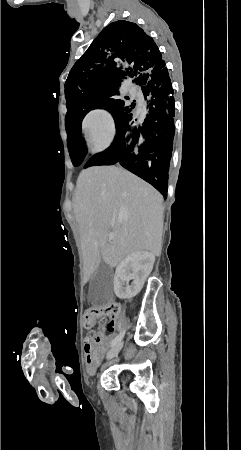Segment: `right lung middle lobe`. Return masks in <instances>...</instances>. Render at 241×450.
I'll return each instance as SVG.
<instances>
[{"mask_svg":"<svg viewBox=\"0 0 241 450\" xmlns=\"http://www.w3.org/2000/svg\"><path fill=\"white\" fill-rule=\"evenodd\" d=\"M118 89L96 87L80 76L69 73L65 83V98L67 114L65 117V126L73 117H84L90 110L106 109L118 126L122 122L135 118V100L127 105L124 100L119 98ZM128 99V97H125ZM70 157L74 166H79L85 159V154H77L70 150Z\"/></svg>","mask_w":241,"mask_h":450,"instance_id":"obj_1","label":"right lung middle lobe"}]
</instances>
